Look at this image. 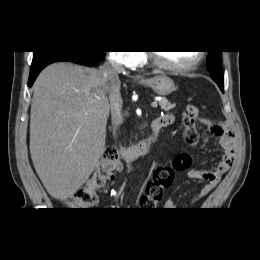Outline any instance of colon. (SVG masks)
<instances>
[{
  "instance_id": "5ec220e1",
  "label": "colon",
  "mask_w": 260,
  "mask_h": 260,
  "mask_svg": "<svg viewBox=\"0 0 260 260\" xmlns=\"http://www.w3.org/2000/svg\"><path fill=\"white\" fill-rule=\"evenodd\" d=\"M198 113L196 106L187 105L183 114L184 140L192 146L196 145L200 139V133L196 127ZM191 163L192 157L188 153H180L172 159L170 164L157 167L146 185L145 198L156 205L162 199L164 192L172 186L176 172L189 168ZM118 166L117 152L108 147L90 180L68 197L66 204L75 208H89L94 205L96 192L107 187L114 178Z\"/></svg>"
}]
</instances>
